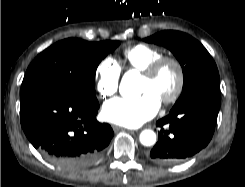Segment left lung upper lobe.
<instances>
[{"instance_id": "5c2ea615", "label": "left lung upper lobe", "mask_w": 245, "mask_h": 187, "mask_svg": "<svg viewBox=\"0 0 245 187\" xmlns=\"http://www.w3.org/2000/svg\"><path fill=\"white\" fill-rule=\"evenodd\" d=\"M145 41L170 49L182 66L183 91L172 110L199 95L220 90L219 73L213 58L193 37L169 30L148 37Z\"/></svg>"}]
</instances>
